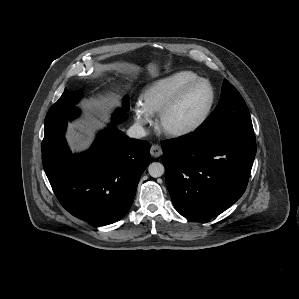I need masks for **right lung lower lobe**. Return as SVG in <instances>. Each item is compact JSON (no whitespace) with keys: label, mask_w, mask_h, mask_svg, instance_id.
<instances>
[{"label":"right lung lower lobe","mask_w":299,"mask_h":299,"mask_svg":"<svg viewBox=\"0 0 299 299\" xmlns=\"http://www.w3.org/2000/svg\"><path fill=\"white\" fill-rule=\"evenodd\" d=\"M126 110L117 109L113 123L80 154L71 153L64 137L68 120L77 117L79 110L46 115L43 167L59 202L77 218L108 225L120 220L132 205L151 156L147 141L129 138L116 128L127 119Z\"/></svg>","instance_id":"right-lung-lower-lobe-1"}]
</instances>
